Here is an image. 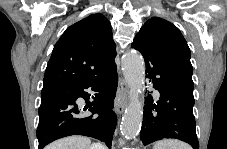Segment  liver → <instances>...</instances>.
<instances>
[{"mask_svg":"<svg viewBox=\"0 0 227 149\" xmlns=\"http://www.w3.org/2000/svg\"><path fill=\"white\" fill-rule=\"evenodd\" d=\"M91 140L83 136H69L59 139L46 147V149H89ZM105 149V146H102Z\"/></svg>","mask_w":227,"mask_h":149,"instance_id":"6515ba94","label":"liver"}]
</instances>
